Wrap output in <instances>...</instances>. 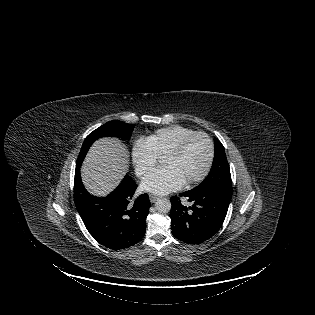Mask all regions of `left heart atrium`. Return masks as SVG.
<instances>
[{
    "instance_id": "obj_1",
    "label": "left heart atrium",
    "mask_w": 315,
    "mask_h": 315,
    "mask_svg": "<svg viewBox=\"0 0 315 315\" xmlns=\"http://www.w3.org/2000/svg\"><path fill=\"white\" fill-rule=\"evenodd\" d=\"M184 179L171 167L162 166L155 169L142 182V188L155 194H167L184 184Z\"/></svg>"
}]
</instances>
